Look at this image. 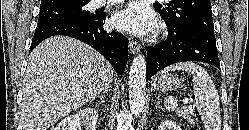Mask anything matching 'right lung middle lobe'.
<instances>
[{"mask_svg":"<svg viewBox=\"0 0 249 130\" xmlns=\"http://www.w3.org/2000/svg\"><path fill=\"white\" fill-rule=\"evenodd\" d=\"M89 1L65 8L40 9L37 27L70 21H86L94 18V14L84 9Z\"/></svg>","mask_w":249,"mask_h":130,"instance_id":"right-lung-middle-lobe-1","label":"right lung middle lobe"}]
</instances>
